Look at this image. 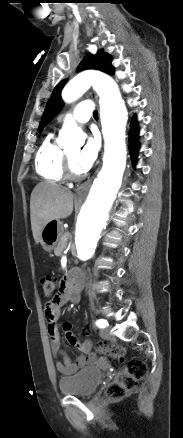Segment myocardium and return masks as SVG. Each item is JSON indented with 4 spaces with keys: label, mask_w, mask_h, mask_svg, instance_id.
<instances>
[{
    "label": "myocardium",
    "mask_w": 183,
    "mask_h": 438,
    "mask_svg": "<svg viewBox=\"0 0 183 438\" xmlns=\"http://www.w3.org/2000/svg\"><path fill=\"white\" fill-rule=\"evenodd\" d=\"M85 174L83 172H77L74 170L72 166V162L69 159L68 155L65 154L64 157V176L71 180H77L84 176Z\"/></svg>",
    "instance_id": "myocardium-1"
}]
</instances>
